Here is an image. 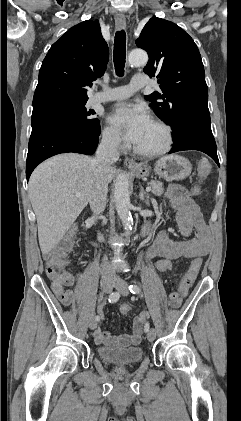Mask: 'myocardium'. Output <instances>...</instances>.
Listing matches in <instances>:
<instances>
[{
  "instance_id": "obj_1",
  "label": "myocardium",
  "mask_w": 241,
  "mask_h": 421,
  "mask_svg": "<svg viewBox=\"0 0 241 421\" xmlns=\"http://www.w3.org/2000/svg\"><path fill=\"white\" fill-rule=\"evenodd\" d=\"M151 122L162 129L164 133V142L161 147L155 150H143L134 145V152L146 158H154L166 154L172 148L174 141L173 130L169 124L158 118L152 119Z\"/></svg>"
}]
</instances>
